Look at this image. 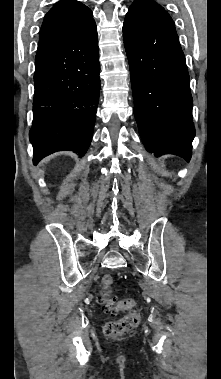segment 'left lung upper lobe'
Returning a JSON list of instances; mask_svg holds the SVG:
<instances>
[{"label":"left lung upper lobe","instance_id":"left-lung-upper-lobe-1","mask_svg":"<svg viewBox=\"0 0 221 379\" xmlns=\"http://www.w3.org/2000/svg\"><path fill=\"white\" fill-rule=\"evenodd\" d=\"M136 1H142V2H146V3H150V4H152V5L156 6V7H158V8H160V9L164 10L163 7H161L159 4H157V3L154 2L153 0H136ZM164 11H165V10H164Z\"/></svg>","mask_w":221,"mask_h":379}]
</instances>
